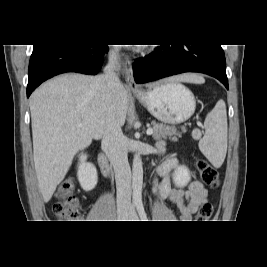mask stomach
Listing matches in <instances>:
<instances>
[{"instance_id":"obj_1","label":"stomach","mask_w":267,"mask_h":267,"mask_svg":"<svg viewBox=\"0 0 267 267\" xmlns=\"http://www.w3.org/2000/svg\"><path fill=\"white\" fill-rule=\"evenodd\" d=\"M135 96L157 120L167 124L188 120L196 108L193 93L175 81H163Z\"/></svg>"}]
</instances>
